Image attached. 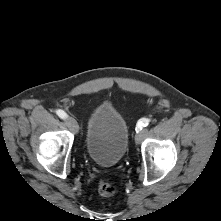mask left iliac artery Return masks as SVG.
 Instances as JSON below:
<instances>
[{"instance_id": "obj_1", "label": "left iliac artery", "mask_w": 221, "mask_h": 221, "mask_svg": "<svg viewBox=\"0 0 221 221\" xmlns=\"http://www.w3.org/2000/svg\"><path fill=\"white\" fill-rule=\"evenodd\" d=\"M149 119H146V118H142L139 120V122L137 123V126H136V132L138 133L139 130H142L143 127H146L148 126L149 124Z\"/></svg>"}]
</instances>
